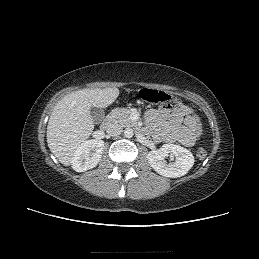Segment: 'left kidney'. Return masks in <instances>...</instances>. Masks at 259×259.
I'll return each instance as SVG.
<instances>
[{
	"mask_svg": "<svg viewBox=\"0 0 259 259\" xmlns=\"http://www.w3.org/2000/svg\"><path fill=\"white\" fill-rule=\"evenodd\" d=\"M176 157V161L167 163L165 157ZM150 166L160 175L170 178L184 176L194 165L193 154L184 147L175 144H164L157 151L147 155Z\"/></svg>",
	"mask_w": 259,
	"mask_h": 259,
	"instance_id": "5707ae66",
	"label": "left kidney"
}]
</instances>
